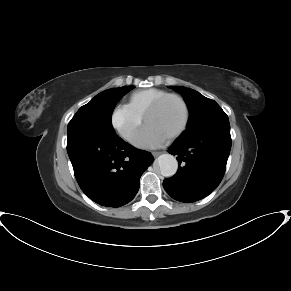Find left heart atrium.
<instances>
[{
    "mask_svg": "<svg viewBox=\"0 0 291 291\" xmlns=\"http://www.w3.org/2000/svg\"><path fill=\"white\" fill-rule=\"evenodd\" d=\"M166 136L153 127L146 125L135 137V143L141 147H154L165 142Z\"/></svg>",
    "mask_w": 291,
    "mask_h": 291,
    "instance_id": "39dd6f15",
    "label": "left heart atrium"
}]
</instances>
